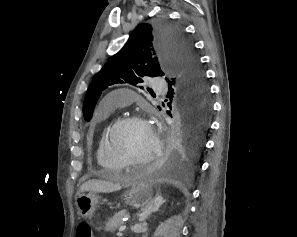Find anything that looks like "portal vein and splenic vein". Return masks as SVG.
Instances as JSON below:
<instances>
[{
    "label": "portal vein and splenic vein",
    "instance_id": "portal-vein-and-splenic-vein-1",
    "mask_svg": "<svg viewBox=\"0 0 297 237\" xmlns=\"http://www.w3.org/2000/svg\"><path fill=\"white\" fill-rule=\"evenodd\" d=\"M125 229H126V225H121L118 230H119V232H122Z\"/></svg>",
    "mask_w": 297,
    "mask_h": 237
}]
</instances>
